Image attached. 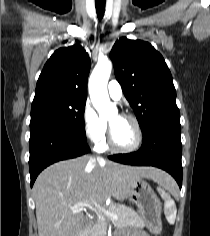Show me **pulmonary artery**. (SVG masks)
<instances>
[{
    "label": "pulmonary artery",
    "mask_w": 210,
    "mask_h": 236,
    "mask_svg": "<svg viewBox=\"0 0 210 236\" xmlns=\"http://www.w3.org/2000/svg\"><path fill=\"white\" fill-rule=\"evenodd\" d=\"M108 94L112 99L120 100L123 93H122V88H121L120 84L117 81L112 80V81L109 82V84H108Z\"/></svg>",
    "instance_id": "e3ab8cb5"
}]
</instances>
